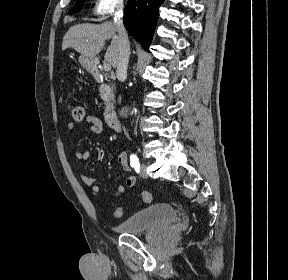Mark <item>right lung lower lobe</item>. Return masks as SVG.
<instances>
[{"label": "right lung lower lobe", "instance_id": "right-lung-lower-lobe-1", "mask_svg": "<svg viewBox=\"0 0 288 280\" xmlns=\"http://www.w3.org/2000/svg\"><path fill=\"white\" fill-rule=\"evenodd\" d=\"M164 0H128L124 11V26L132 37L148 51L158 16Z\"/></svg>", "mask_w": 288, "mask_h": 280}]
</instances>
